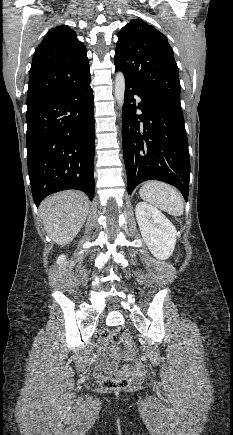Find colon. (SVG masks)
Segmentation results:
<instances>
[{
	"mask_svg": "<svg viewBox=\"0 0 233 435\" xmlns=\"http://www.w3.org/2000/svg\"><path fill=\"white\" fill-rule=\"evenodd\" d=\"M103 339H110L114 344H121L126 350L131 351L134 349V341L127 333H112L109 330L101 332ZM130 385V377L128 375H121L115 378H106L102 381V387L107 390H124Z\"/></svg>",
	"mask_w": 233,
	"mask_h": 435,
	"instance_id": "obj_1",
	"label": "colon"
}]
</instances>
